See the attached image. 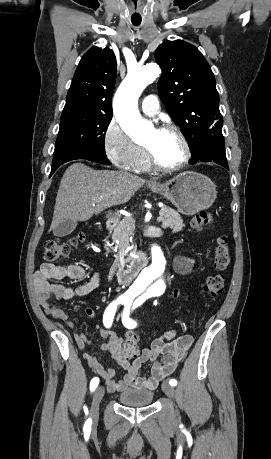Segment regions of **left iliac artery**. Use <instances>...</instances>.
I'll use <instances>...</instances> for the list:
<instances>
[{
  "label": "left iliac artery",
  "mask_w": 271,
  "mask_h": 459,
  "mask_svg": "<svg viewBox=\"0 0 271 459\" xmlns=\"http://www.w3.org/2000/svg\"><path fill=\"white\" fill-rule=\"evenodd\" d=\"M130 306H131V304H129V305L126 304L125 305V309H124L123 316H122V322H123L125 327H127L129 329H133V328L136 327L137 323L129 318V316H131L133 314V309ZM136 306H137V304L134 303L133 304V308H135ZM169 384L171 386H176L177 385V381L175 379H171L169 381Z\"/></svg>",
  "instance_id": "1"
}]
</instances>
